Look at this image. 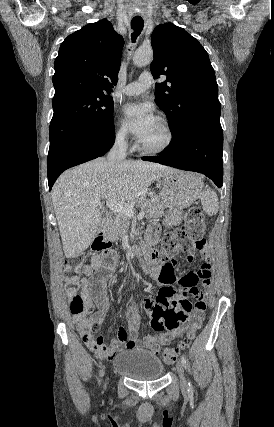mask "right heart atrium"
<instances>
[{"mask_svg":"<svg viewBox=\"0 0 274 427\" xmlns=\"http://www.w3.org/2000/svg\"><path fill=\"white\" fill-rule=\"evenodd\" d=\"M114 138L116 143L119 144L120 146H123V147L128 146V133L124 127L120 126L116 130Z\"/></svg>","mask_w":274,"mask_h":427,"instance_id":"1","label":"right heart atrium"}]
</instances>
